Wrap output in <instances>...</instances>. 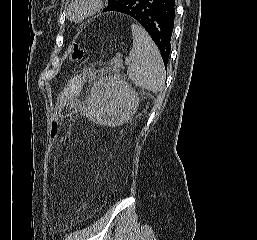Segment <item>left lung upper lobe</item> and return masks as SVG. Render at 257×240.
I'll use <instances>...</instances> for the list:
<instances>
[{"label": "left lung upper lobe", "instance_id": "1", "mask_svg": "<svg viewBox=\"0 0 257 240\" xmlns=\"http://www.w3.org/2000/svg\"><path fill=\"white\" fill-rule=\"evenodd\" d=\"M124 0H108V6L106 7L105 11L113 9L119 6Z\"/></svg>", "mask_w": 257, "mask_h": 240}]
</instances>
